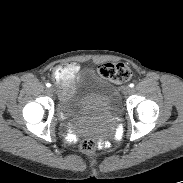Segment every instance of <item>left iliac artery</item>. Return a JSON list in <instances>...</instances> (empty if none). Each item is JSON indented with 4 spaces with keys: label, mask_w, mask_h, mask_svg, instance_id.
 Listing matches in <instances>:
<instances>
[{
    "label": "left iliac artery",
    "mask_w": 183,
    "mask_h": 183,
    "mask_svg": "<svg viewBox=\"0 0 183 183\" xmlns=\"http://www.w3.org/2000/svg\"><path fill=\"white\" fill-rule=\"evenodd\" d=\"M129 86H130L131 88H133V87H134V84H133V83H131Z\"/></svg>",
    "instance_id": "left-iliac-artery-1"
}]
</instances>
